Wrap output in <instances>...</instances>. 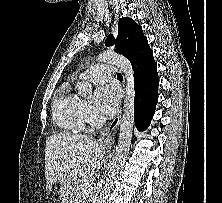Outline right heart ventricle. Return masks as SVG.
Returning a JSON list of instances; mask_svg holds the SVG:
<instances>
[{"mask_svg":"<svg viewBox=\"0 0 222 203\" xmlns=\"http://www.w3.org/2000/svg\"><path fill=\"white\" fill-rule=\"evenodd\" d=\"M85 103L66 84L54 100L52 115L55 124L66 133H80L85 129Z\"/></svg>","mask_w":222,"mask_h":203,"instance_id":"obj_1","label":"right heart ventricle"}]
</instances>
